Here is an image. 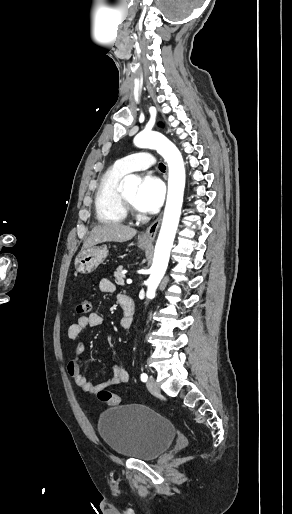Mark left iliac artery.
Wrapping results in <instances>:
<instances>
[{"instance_id":"1","label":"left iliac artery","mask_w":292,"mask_h":514,"mask_svg":"<svg viewBox=\"0 0 292 514\" xmlns=\"http://www.w3.org/2000/svg\"><path fill=\"white\" fill-rule=\"evenodd\" d=\"M140 378H141V381L146 382V381H147V379H148V376H147V374H146V373H142V374H141V376H140Z\"/></svg>"}]
</instances>
